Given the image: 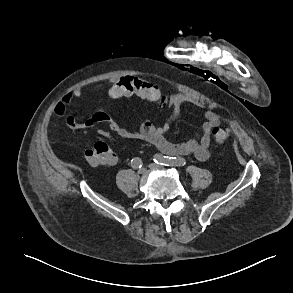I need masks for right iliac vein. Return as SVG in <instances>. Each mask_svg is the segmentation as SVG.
Wrapping results in <instances>:
<instances>
[{
	"mask_svg": "<svg viewBox=\"0 0 293 293\" xmlns=\"http://www.w3.org/2000/svg\"><path fill=\"white\" fill-rule=\"evenodd\" d=\"M146 172V169L145 168H140L139 170H138V173L139 174H144Z\"/></svg>",
	"mask_w": 293,
	"mask_h": 293,
	"instance_id": "obj_1",
	"label": "right iliac vein"
}]
</instances>
